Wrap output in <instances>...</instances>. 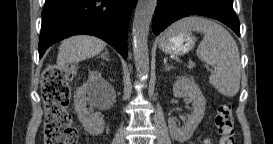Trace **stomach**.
<instances>
[{"mask_svg": "<svg viewBox=\"0 0 273 144\" xmlns=\"http://www.w3.org/2000/svg\"><path fill=\"white\" fill-rule=\"evenodd\" d=\"M195 45V37L191 33L178 31L175 33H164L159 47L160 49L170 55H183L188 53Z\"/></svg>", "mask_w": 273, "mask_h": 144, "instance_id": "0dacf381", "label": "stomach"}]
</instances>
